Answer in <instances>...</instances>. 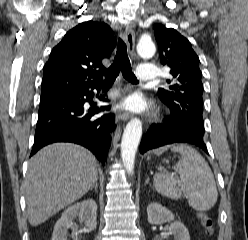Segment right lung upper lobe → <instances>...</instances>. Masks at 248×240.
Listing matches in <instances>:
<instances>
[{"instance_id": "cb5924a9", "label": "right lung upper lobe", "mask_w": 248, "mask_h": 240, "mask_svg": "<svg viewBox=\"0 0 248 240\" xmlns=\"http://www.w3.org/2000/svg\"><path fill=\"white\" fill-rule=\"evenodd\" d=\"M115 45L112 30L104 22L87 21L69 30L44 66L41 98L101 85L102 60Z\"/></svg>"}]
</instances>
